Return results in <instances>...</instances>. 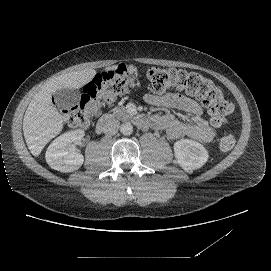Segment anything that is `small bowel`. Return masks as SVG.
Masks as SVG:
<instances>
[{
    "mask_svg": "<svg viewBox=\"0 0 271 271\" xmlns=\"http://www.w3.org/2000/svg\"><path fill=\"white\" fill-rule=\"evenodd\" d=\"M145 101L153 106L177 109L189 115L188 119H181L172 114L152 118V124L165 130L173 140L188 137L200 142H210L216 136L215 128L203 117L204 106L192 97L178 93L162 96L149 93L145 95Z\"/></svg>",
    "mask_w": 271,
    "mask_h": 271,
    "instance_id": "obj_1",
    "label": "small bowel"
}]
</instances>
